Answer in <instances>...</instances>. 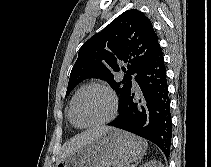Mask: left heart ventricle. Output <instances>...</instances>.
Here are the masks:
<instances>
[{
    "label": "left heart ventricle",
    "mask_w": 211,
    "mask_h": 167,
    "mask_svg": "<svg viewBox=\"0 0 211 167\" xmlns=\"http://www.w3.org/2000/svg\"><path fill=\"white\" fill-rule=\"evenodd\" d=\"M111 110L110 96L102 89L91 88L77 99L74 115L78 122L88 124L107 118Z\"/></svg>",
    "instance_id": "left-heart-ventricle-1"
}]
</instances>
